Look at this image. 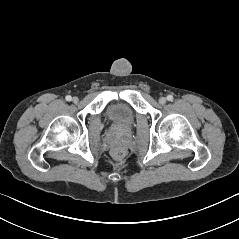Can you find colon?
Wrapping results in <instances>:
<instances>
[{"label": "colon", "mask_w": 239, "mask_h": 239, "mask_svg": "<svg viewBox=\"0 0 239 239\" xmlns=\"http://www.w3.org/2000/svg\"><path fill=\"white\" fill-rule=\"evenodd\" d=\"M126 155H127V150L125 147L121 145H117L112 151V156L116 160H122L126 157Z\"/></svg>", "instance_id": "5ec220e1"}]
</instances>
